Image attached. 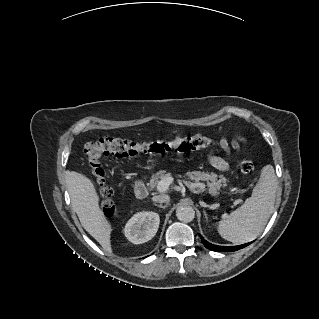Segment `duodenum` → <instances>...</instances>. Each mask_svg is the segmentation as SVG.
Returning a JSON list of instances; mask_svg holds the SVG:
<instances>
[{"label": "duodenum", "mask_w": 319, "mask_h": 319, "mask_svg": "<svg viewBox=\"0 0 319 319\" xmlns=\"http://www.w3.org/2000/svg\"><path fill=\"white\" fill-rule=\"evenodd\" d=\"M149 194L148 188L143 183H138L134 187V195L137 199L142 200L145 199Z\"/></svg>", "instance_id": "duodenum-1"}]
</instances>
